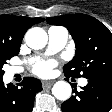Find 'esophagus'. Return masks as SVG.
Returning <instances> with one entry per match:
<instances>
[{"label":"esophagus","instance_id":"34e87169","mask_svg":"<svg viewBox=\"0 0 112 112\" xmlns=\"http://www.w3.org/2000/svg\"><path fill=\"white\" fill-rule=\"evenodd\" d=\"M54 81H42V87L44 89L50 88L53 85Z\"/></svg>","mask_w":112,"mask_h":112}]
</instances>
